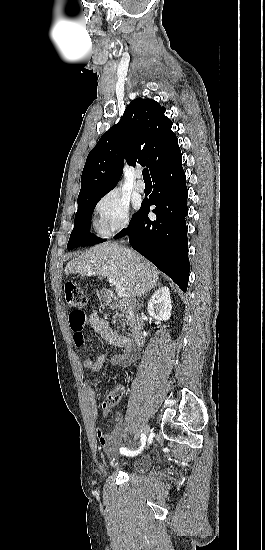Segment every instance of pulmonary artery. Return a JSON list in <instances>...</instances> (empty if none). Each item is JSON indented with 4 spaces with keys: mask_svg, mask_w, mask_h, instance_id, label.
Instances as JSON below:
<instances>
[{
    "mask_svg": "<svg viewBox=\"0 0 265 550\" xmlns=\"http://www.w3.org/2000/svg\"><path fill=\"white\" fill-rule=\"evenodd\" d=\"M138 177L140 178L141 175L138 174ZM135 189H136V191L139 192V193L144 192V191H145V184H144V182H143L142 180H138V181L136 182V184H135Z\"/></svg>",
    "mask_w": 265,
    "mask_h": 550,
    "instance_id": "1",
    "label": "pulmonary artery"
}]
</instances>
